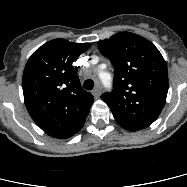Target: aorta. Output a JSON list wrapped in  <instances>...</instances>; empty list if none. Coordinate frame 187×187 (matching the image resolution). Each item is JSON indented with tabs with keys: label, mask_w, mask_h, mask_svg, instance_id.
I'll return each mask as SVG.
<instances>
[{
	"label": "aorta",
	"mask_w": 187,
	"mask_h": 187,
	"mask_svg": "<svg viewBox=\"0 0 187 187\" xmlns=\"http://www.w3.org/2000/svg\"><path fill=\"white\" fill-rule=\"evenodd\" d=\"M100 79L105 87H109L111 85V78L110 77L106 78L105 73H100Z\"/></svg>",
	"instance_id": "aorta-1"
}]
</instances>
